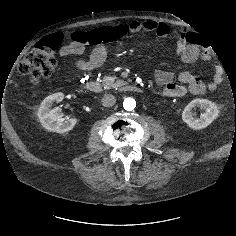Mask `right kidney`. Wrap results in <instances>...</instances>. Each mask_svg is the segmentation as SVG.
I'll return each instance as SVG.
<instances>
[{
  "label": "right kidney",
  "instance_id": "1",
  "mask_svg": "<svg viewBox=\"0 0 236 236\" xmlns=\"http://www.w3.org/2000/svg\"><path fill=\"white\" fill-rule=\"evenodd\" d=\"M64 94L59 92L46 97L38 110V117L42 126L48 131L65 133L70 131L77 123L76 118L64 120L61 108H52L55 102L62 101Z\"/></svg>",
  "mask_w": 236,
  "mask_h": 236
}]
</instances>
